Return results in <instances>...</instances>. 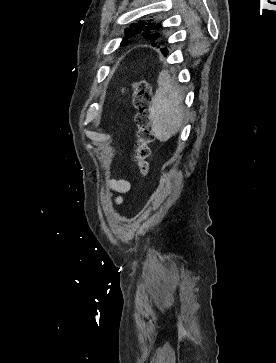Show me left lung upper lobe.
<instances>
[{
    "label": "left lung upper lobe",
    "instance_id": "5c2ea615",
    "mask_svg": "<svg viewBox=\"0 0 276 363\" xmlns=\"http://www.w3.org/2000/svg\"><path fill=\"white\" fill-rule=\"evenodd\" d=\"M153 21V20H151ZM162 27L161 24L156 22H150L149 20H140L138 24H131L130 29H126V37L123 39L121 46L127 44V38L141 33L144 37L151 39L152 41L160 37L159 33H156ZM163 50H166L164 48Z\"/></svg>",
    "mask_w": 276,
    "mask_h": 363
}]
</instances>
